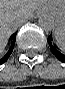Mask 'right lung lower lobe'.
I'll return each mask as SVG.
<instances>
[{"label":"right lung lower lobe","instance_id":"obj_1","mask_svg":"<svg viewBox=\"0 0 65 89\" xmlns=\"http://www.w3.org/2000/svg\"><path fill=\"white\" fill-rule=\"evenodd\" d=\"M11 39H12V42H11L10 48H9L8 52L6 53V55L0 59V64H3L4 62H6L13 51L15 39H16L15 34H13Z\"/></svg>","mask_w":65,"mask_h":89}]
</instances>
